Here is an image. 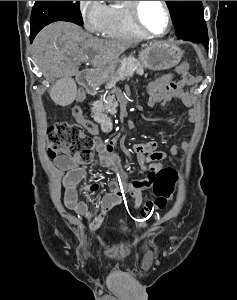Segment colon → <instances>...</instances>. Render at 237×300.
Returning a JSON list of instances; mask_svg holds the SVG:
<instances>
[{"instance_id":"5ec220e1","label":"colon","mask_w":237,"mask_h":300,"mask_svg":"<svg viewBox=\"0 0 237 300\" xmlns=\"http://www.w3.org/2000/svg\"><path fill=\"white\" fill-rule=\"evenodd\" d=\"M189 69V63H181L176 68L177 73L181 75V80L173 81L148 95V107L155 106L171 91L192 85L194 76L189 73ZM73 114L75 117L82 116L79 105L74 107ZM47 136V153L50 158H55L58 153H66L79 164H88L98 145H112L118 140V136H114L109 141L100 143L87 136L79 124L68 122H58L50 126L47 130ZM177 181L178 173L172 168H162L150 175L148 186L153 188L156 195L155 207L163 208L166 205L167 200L173 195Z\"/></svg>"}]
</instances>
